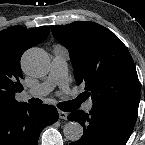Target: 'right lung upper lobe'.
<instances>
[{"mask_svg":"<svg viewBox=\"0 0 145 145\" xmlns=\"http://www.w3.org/2000/svg\"><path fill=\"white\" fill-rule=\"evenodd\" d=\"M49 32L48 26H13L0 31V114L24 104L15 99V93L23 90L20 58L27 49L45 40Z\"/></svg>","mask_w":145,"mask_h":145,"instance_id":"cb5924a9","label":"right lung upper lobe"}]
</instances>
